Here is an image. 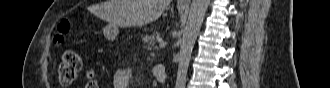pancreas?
I'll return each mask as SVG.
<instances>
[{"label": "pancreas", "instance_id": "cf45deb5", "mask_svg": "<svg viewBox=\"0 0 330 88\" xmlns=\"http://www.w3.org/2000/svg\"><path fill=\"white\" fill-rule=\"evenodd\" d=\"M160 39V35L158 32H153L152 34H146L143 37V41L145 44H148V46H154L156 40Z\"/></svg>", "mask_w": 330, "mask_h": 88}]
</instances>
